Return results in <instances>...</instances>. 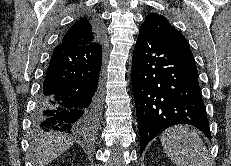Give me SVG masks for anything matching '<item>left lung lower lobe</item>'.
<instances>
[{"label":"left lung lower lobe","instance_id":"obj_1","mask_svg":"<svg viewBox=\"0 0 231 166\" xmlns=\"http://www.w3.org/2000/svg\"><path fill=\"white\" fill-rule=\"evenodd\" d=\"M131 75L141 153L149 141L177 124L193 125L211 139L191 49L140 29Z\"/></svg>","mask_w":231,"mask_h":166}]
</instances>
